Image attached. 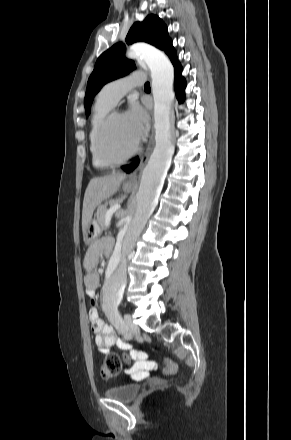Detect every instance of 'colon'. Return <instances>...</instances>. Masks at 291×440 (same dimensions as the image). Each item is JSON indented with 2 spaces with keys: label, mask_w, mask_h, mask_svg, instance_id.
<instances>
[{
  "label": "colon",
  "mask_w": 291,
  "mask_h": 440,
  "mask_svg": "<svg viewBox=\"0 0 291 440\" xmlns=\"http://www.w3.org/2000/svg\"><path fill=\"white\" fill-rule=\"evenodd\" d=\"M146 356L143 353H140ZM121 371V360L118 355L109 353L106 355L105 361L101 368V375L105 379L116 378ZM175 371V362L172 359H167L165 362L164 372L171 374Z\"/></svg>",
  "instance_id": "5ec220e1"
}]
</instances>
